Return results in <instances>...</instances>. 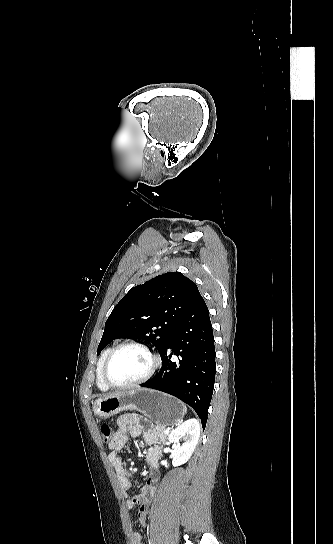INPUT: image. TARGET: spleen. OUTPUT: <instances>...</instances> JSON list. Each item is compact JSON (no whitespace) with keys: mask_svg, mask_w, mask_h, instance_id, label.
Returning a JSON list of instances; mask_svg holds the SVG:
<instances>
[{"mask_svg":"<svg viewBox=\"0 0 333 544\" xmlns=\"http://www.w3.org/2000/svg\"><path fill=\"white\" fill-rule=\"evenodd\" d=\"M182 407H183V414H186L187 413V408L184 404H182Z\"/></svg>","mask_w":333,"mask_h":544,"instance_id":"3e777b00","label":"spleen"}]
</instances>
